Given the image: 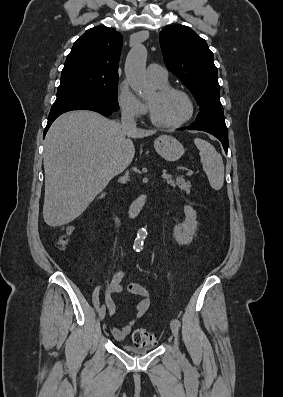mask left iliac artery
I'll list each match as a JSON object with an SVG mask.
<instances>
[{
  "instance_id": "1",
  "label": "left iliac artery",
  "mask_w": 283,
  "mask_h": 397,
  "mask_svg": "<svg viewBox=\"0 0 283 397\" xmlns=\"http://www.w3.org/2000/svg\"><path fill=\"white\" fill-rule=\"evenodd\" d=\"M175 323H176V325H177L178 327H180L181 323H180V321H179L178 319H175Z\"/></svg>"
}]
</instances>
